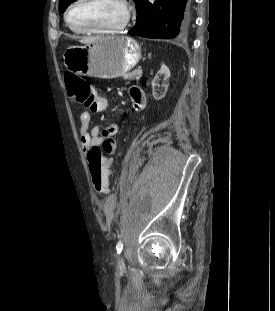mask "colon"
Masks as SVG:
<instances>
[{
	"instance_id": "colon-1",
	"label": "colon",
	"mask_w": 275,
	"mask_h": 311,
	"mask_svg": "<svg viewBox=\"0 0 275 311\" xmlns=\"http://www.w3.org/2000/svg\"><path fill=\"white\" fill-rule=\"evenodd\" d=\"M64 80L72 103L88 105L94 100V89L89 82L72 73H66ZM88 159L93 188L97 193H105L109 185L111 160L102 155L99 147L89 151Z\"/></svg>"
}]
</instances>
